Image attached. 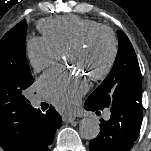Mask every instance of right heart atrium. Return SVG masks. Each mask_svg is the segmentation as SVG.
<instances>
[{
    "label": "right heart atrium",
    "mask_w": 151,
    "mask_h": 151,
    "mask_svg": "<svg viewBox=\"0 0 151 151\" xmlns=\"http://www.w3.org/2000/svg\"><path fill=\"white\" fill-rule=\"evenodd\" d=\"M26 56L32 68L41 71L56 64L62 52L44 36H36L27 41Z\"/></svg>",
    "instance_id": "1"
}]
</instances>
